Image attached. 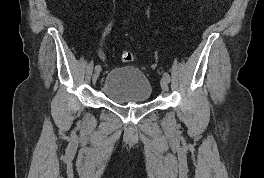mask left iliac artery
I'll return each instance as SVG.
<instances>
[{"mask_svg":"<svg viewBox=\"0 0 264 178\" xmlns=\"http://www.w3.org/2000/svg\"><path fill=\"white\" fill-rule=\"evenodd\" d=\"M163 76L168 80V82L170 81V75L167 72H165Z\"/></svg>","mask_w":264,"mask_h":178,"instance_id":"44dca946","label":"left iliac artery"}]
</instances>
